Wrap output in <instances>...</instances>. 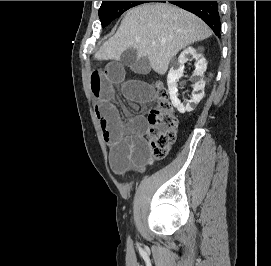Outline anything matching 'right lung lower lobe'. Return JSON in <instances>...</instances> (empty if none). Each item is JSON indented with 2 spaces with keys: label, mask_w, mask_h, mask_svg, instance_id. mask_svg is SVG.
Returning <instances> with one entry per match:
<instances>
[{
  "label": "right lung lower lobe",
  "mask_w": 271,
  "mask_h": 266,
  "mask_svg": "<svg viewBox=\"0 0 271 266\" xmlns=\"http://www.w3.org/2000/svg\"><path fill=\"white\" fill-rule=\"evenodd\" d=\"M169 2L200 17L220 37L221 22L218 1H150Z\"/></svg>",
  "instance_id": "98d812e1"
}]
</instances>
